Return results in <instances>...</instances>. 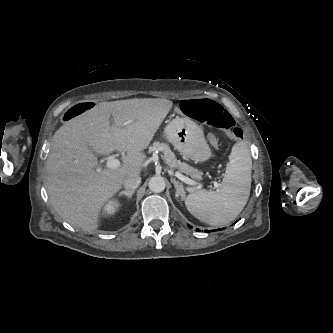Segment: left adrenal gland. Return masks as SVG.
I'll use <instances>...</instances> for the list:
<instances>
[{
    "label": "left adrenal gland",
    "mask_w": 333,
    "mask_h": 333,
    "mask_svg": "<svg viewBox=\"0 0 333 333\" xmlns=\"http://www.w3.org/2000/svg\"><path fill=\"white\" fill-rule=\"evenodd\" d=\"M172 182L176 189V197L178 198L179 196H181V199L183 200L185 196V191L182 183H179L175 178L172 180Z\"/></svg>",
    "instance_id": "a2214340"
}]
</instances>
